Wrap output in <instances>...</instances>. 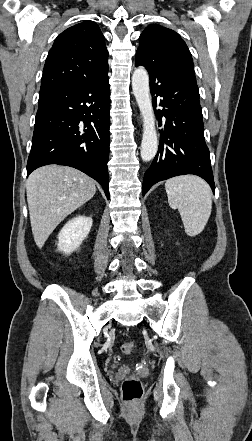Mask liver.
Masks as SVG:
<instances>
[{"label":"liver","mask_w":252,"mask_h":441,"mask_svg":"<svg viewBox=\"0 0 252 441\" xmlns=\"http://www.w3.org/2000/svg\"><path fill=\"white\" fill-rule=\"evenodd\" d=\"M26 192L32 234L42 248L57 225L94 196L96 186L77 169L47 165L30 174Z\"/></svg>","instance_id":"1"}]
</instances>
